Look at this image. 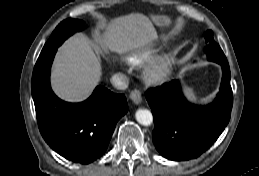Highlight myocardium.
I'll return each instance as SVG.
<instances>
[{"mask_svg": "<svg viewBox=\"0 0 259 176\" xmlns=\"http://www.w3.org/2000/svg\"><path fill=\"white\" fill-rule=\"evenodd\" d=\"M173 68L174 59L172 57H166L147 69L145 79L151 84H163L171 78Z\"/></svg>", "mask_w": 259, "mask_h": 176, "instance_id": "obj_1", "label": "myocardium"}]
</instances>
